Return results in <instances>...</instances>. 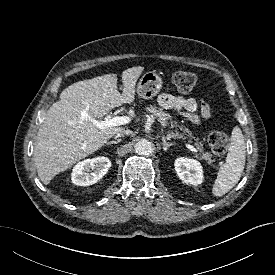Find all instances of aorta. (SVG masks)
<instances>
[{
  "mask_svg": "<svg viewBox=\"0 0 275 275\" xmlns=\"http://www.w3.org/2000/svg\"><path fill=\"white\" fill-rule=\"evenodd\" d=\"M153 150V144L147 139H141L135 144V152L139 155H149Z\"/></svg>",
  "mask_w": 275,
  "mask_h": 275,
  "instance_id": "aorta-1",
  "label": "aorta"
}]
</instances>
